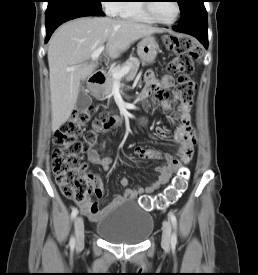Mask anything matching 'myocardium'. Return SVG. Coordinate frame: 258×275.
<instances>
[{"instance_id": "myocardium-1", "label": "myocardium", "mask_w": 258, "mask_h": 275, "mask_svg": "<svg viewBox=\"0 0 258 275\" xmlns=\"http://www.w3.org/2000/svg\"><path fill=\"white\" fill-rule=\"evenodd\" d=\"M144 2H151V1H144ZM174 3L176 5L177 12H176V16L171 21H162L161 19H159L158 17H156L155 14H154V12H153V9H152V4L153 3H143V8H144L145 12L147 13V15L154 22L159 23V24H163V25H170V24L175 23L178 20L180 14H181V7H180L179 2L177 0H175Z\"/></svg>"}]
</instances>
